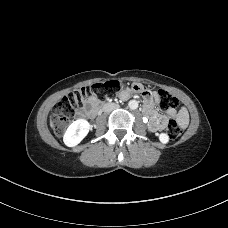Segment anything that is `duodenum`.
Returning <instances> with one entry per match:
<instances>
[{
	"label": "duodenum",
	"instance_id": "410a0bca",
	"mask_svg": "<svg viewBox=\"0 0 228 228\" xmlns=\"http://www.w3.org/2000/svg\"><path fill=\"white\" fill-rule=\"evenodd\" d=\"M105 107H117L116 103L112 102H103L100 104H97L94 110L89 114L90 117H95L99 113V111ZM159 123L158 119L150 117L149 122H148V127L151 130L155 129V125Z\"/></svg>",
	"mask_w": 228,
	"mask_h": 228
}]
</instances>
